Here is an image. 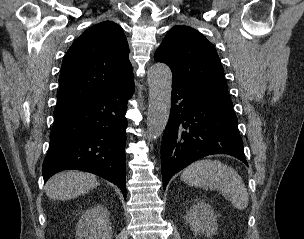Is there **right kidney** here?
<instances>
[{"mask_svg":"<svg viewBox=\"0 0 304 239\" xmlns=\"http://www.w3.org/2000/svg\"><path fill=\"white\" fill-rule=\"evenodd\" d=\"M76 237L77 239H111L112 228L108 210L99 205L87 209L77 223Z\"/></svg>","mask_w":304,"mask_h":239,"instance_id":"obj_1","label":"right kidney"}]
</instances>
